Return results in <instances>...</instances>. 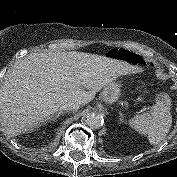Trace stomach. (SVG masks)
I'll use <instances>...</instances> for the list:
<instances>
[{
  "label": "stomach",
  "mask_w": 177,
  "mask_h": 177,
  "mask_svg": "<svg viewBox=\"0 0 177 177\" xmlns=\"http://www.w3.org/2000/svg\"><path fill=\"white\" fill-rule=\"evenodd\" d=\"M108 55L110 58L125 61L136 68L141 67L144 63H146V58L140 53L124 48L112 49L108 52ZM120 94V84L113 81L104 87L100 97L105 103L113 104L119 99Z\"/></svg>",
  "instance_id": "1"
}]
</instances>
